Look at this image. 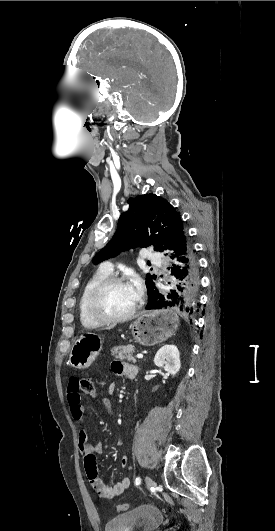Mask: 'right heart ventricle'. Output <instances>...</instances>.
<instances>
[{
    "instance_id": "obj_1",
    "label": "right heart ventricle",
    "mask_w": 275,
    "mask_h": 531,
    "mask_svg": "<svg viewBox=\"0 0 275 531\" xmlns=\"http://www.w3.org/2000/svg\"><path fill=\"white\" fill-rule=\"evenodd\" d=\"M110 273L106 272L105 270L98 271L84 286L83 291L81 293L79 302H78V312H79V318L82 323V325L89 329L97 328L101 325V323L91 319L87 312H86V300L89 296L92 289L105 277L109 276Z\"/></svg>"
}]
</instances>
